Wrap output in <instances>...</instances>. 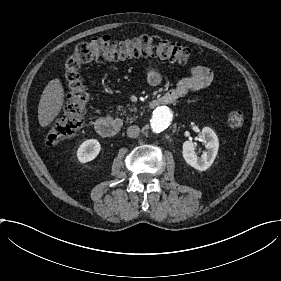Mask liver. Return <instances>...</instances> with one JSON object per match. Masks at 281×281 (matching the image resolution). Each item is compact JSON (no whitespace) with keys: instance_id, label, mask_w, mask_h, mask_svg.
Wrapping results in <instances>:
<instances>
[{"instance_id":"liver-1","label":"liver","mask_w":281,"mask_h":281,"mask_svg":"<svg viewBox=\"0 0 281 281\" xmlns=\"http://www.w3.org/2000/svg\"><path fill=\"white\" fill-rule=\"evenodd\" d=\"M64 90L58 78L51 80L43 90L38 106V121L48 126L59 114L63 105Z\"/></svg>"}]
</instances>
